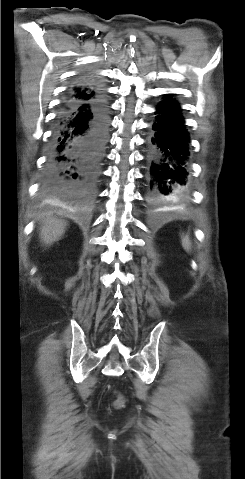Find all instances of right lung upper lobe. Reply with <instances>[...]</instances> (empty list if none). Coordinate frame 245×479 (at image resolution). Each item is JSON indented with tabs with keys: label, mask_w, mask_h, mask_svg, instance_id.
<instances>
[{
	"label": "right lung upper lobe",
	"mask_w": 245,
	"mask_h": 479,
	"mask_svg": "<svg viewBox=\"0 0 245 479\" xmlns=\"http://www.w3.org/2000/svg\"><path fill=\"white\" fill-rule=\"evenodd\" d=\"M103 90L93 79H88V82L84 85H76L71 89V93L68 94L67 100H76L80 102L89 101L100 95H103Z\"/></svg>",
	"instance_id": "1"
}]
</instances>
